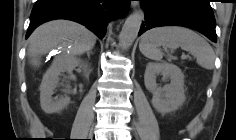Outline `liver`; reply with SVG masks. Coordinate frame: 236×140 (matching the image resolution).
Here are the masks:
<instances>
[{"instance_id":"1","label":"liver","mask_w":236,"mask_h":140,"mask_svg":"<svg viewBox=\"0 0 236 140\" xmlns=\"http://www.w3.org/2000/svg\"><path fill=\"white\" fill-rule=\"evenodd\" d=\"M96 43V36L84 26L67 20H54L39 26L30 36L28 55L31 64L40 65L41 56L52 49L62 47V55L66 58L67 46L70 45L69 57L90 51Z\"/></svg>"}]
</instances>
